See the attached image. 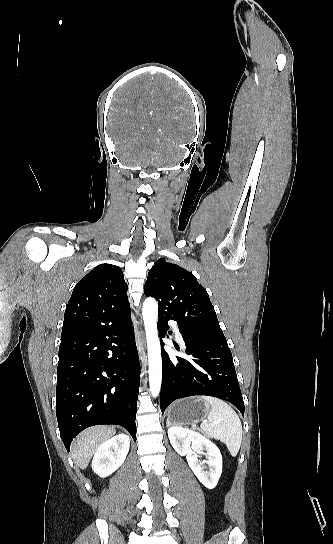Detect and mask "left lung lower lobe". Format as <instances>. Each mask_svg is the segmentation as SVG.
Here are the masks:
<instances>
[{
	"label": "left lung lower lobe",
	"mask_w": 333,
	"mask_h": 544,
	"mask_svg": "<svg viewBox=\"0 0 333 544\" xmlns=\"http://www.w3.org/2000/svg\"><path fill=\"white\" fill-rule=\"evenodd\" d=\"M170 319L174 320L165 313H159L158 328L161 338L165 337L169 329ZM178 328L186 345V354L192 357L189 360L178 356L172 358L162 347V413L176 399L207 395L232 403L244 416V402L225 336L186 330L179 325ZM175 348L180 350L176 344Z\"/></svg>",
	"instance_id": "1"
}]
</instances>
